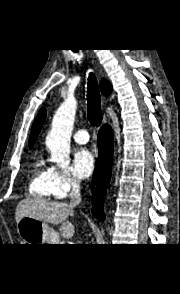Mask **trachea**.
Returning <instances> with one entry per match:
<instances>
[{"instance_id": "3493384b", "label": "trachea", "mask_w": 180, "mask_h": 294, "mask_svg": "<svg viewBox=\"0 0 180 294\" xmlns=\"http://www.w3.org/2000/svg\"><path fill=\"white\" fill-rule=\"evenodd\" d=\"M73 51L77 52L78 50ZM87 105L88 120L93 126L98 127L102 122L101 98L98 83L93 73H91L88 77Z\"/></svg>"}]
</instances>
